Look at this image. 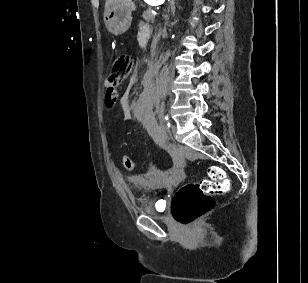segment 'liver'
Instances as JSON below:
<instances>
[{"label": "liver", "mask_w": 308, "mask_h": 283, "mask_svg": "<svg viewBox=\"0 0 308 283\" xmlns=\"http://www.w3.org/2000/svg\"><path fill=\"white\" fill-rule=\"evenodd\" d=\"M119 0H106L105 2V10L112 4L118 2Z\"/></svg>", "instance_id": "obj_1"}]
</instances>
